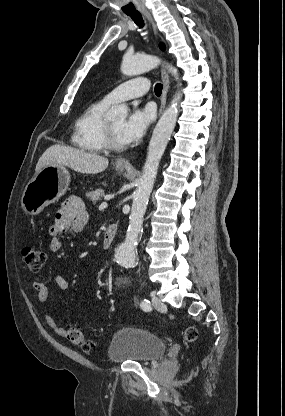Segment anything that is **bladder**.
<instances>
[{"mask_svg":"<svg viewBox=\"0 0 285 416\" xmlns=\"http://www.w3.org/2000/svg\"><path fill=\"white\" fill-rule=\"evenodd\" d=\"M166 341L139 327L118 329L111 339L108 358L112 362L150 363L163 357Z\"/></svg>","mask_w":285,"mask_h":416,"instance_id":"bladder-1","label":"bladder"}]
</instances>
